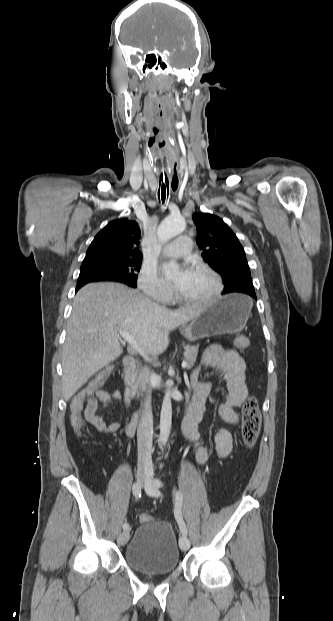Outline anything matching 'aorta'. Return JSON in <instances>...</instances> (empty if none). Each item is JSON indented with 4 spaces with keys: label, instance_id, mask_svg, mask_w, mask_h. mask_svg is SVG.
Returning <instances> with one entry per match:
<instances>
[{
    "label": "aorta",
    "instance_id": "762f6f07",
    "mask_svg": "<svg viewBox=\"0 0 333 621\" xmlns=\"http://www.w3.org/2000/svg\"><path fill=\"white\" fill-rule=\"evenodd\" d=\"M186 227V222L182 216L170 215L165 218L157 229V237L160 243H166L175 236L181 234ZM172 424V404L170 393H166L163 398L160 414V444L165 446L171 430Z\"/></svg>",
    "mask_w": 333,
    "mask_h": 621
}]
</instances>
